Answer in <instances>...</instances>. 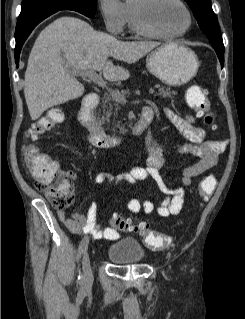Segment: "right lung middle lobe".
<instances>
[{
  "mask_svg": "<svg viewBox=\"0 0 245 319\" xmlns=\"http://www.w3.org/2000/svg\"><path fill=\"white\" fill-rule=\"evenodd\" d=\"M95 5L96 0H22L18 22L62 9L74 10L93 18L95 16Z\"/></svg>",
  "mask_w": 245,
  "mask_h": 319,
  "instance_id": "right-lung-middle-lobe-1",
  "label": "right lung middle lobe"
}]
</instances>
